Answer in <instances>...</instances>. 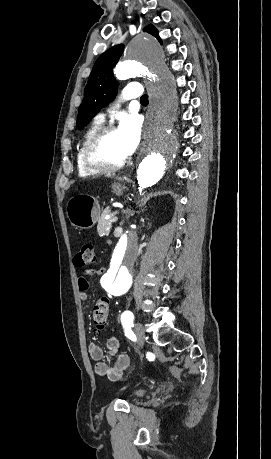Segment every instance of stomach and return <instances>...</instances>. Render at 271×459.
<instances>
[{"label":"stomach","instance_id":"stomach-1","mask_svg":"<svg viewBox=\"0 0 271 459\" xmlns=\"http://www.w3.org/2000/svg\"><path fill=\"white\" fill-rule=\"evenodd\" d=\"M125 188L124 186H118L113 184L112 192L116 196H122ZM67 218L71 226L79 229H89L95 226L100 218V206L92 196H74L67 204L66 210Z\"/></svg>","mask_w":271,"mask_h":459}]
</instances>
